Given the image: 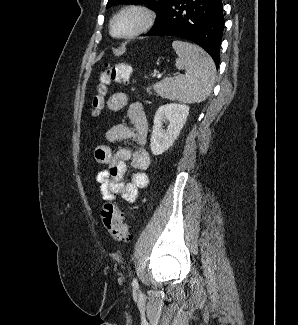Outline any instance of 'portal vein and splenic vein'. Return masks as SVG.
<instances>
[{
	"label": "portal vein and splenic vein",
	"instance_id": "obj_1",
	"mask_svg": "<svg viewBox=\"0 0 298 325\" xmlns=\"http://www.w3.org/2000/svg\"><path fill=\"white\" fill-rule=\"evenodd\" d=\"M162 74H157V78H161Z\"/></svg>",
	"mask_w": 298,
	"mask_h": 325
}]
</instances>
